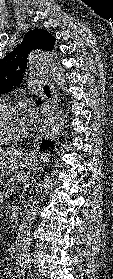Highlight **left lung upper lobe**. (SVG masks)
I'll return each mask as SVG.
<instances>
[{
    "instance_id": "5c2ea615",
    "label": "left lung upper lobe",
    "mask_w": 113,
    "mask_h": 279,
    "mask_svg": "<svg viewBox=\"0 0 113 279\" xmlns=\"http://www.w3.org/2000/svg\"><path fill=\"white\" fill-rule=\"evenodd\" d=\"M54 42L55 38L44 29L27 32L21 44L0 59V95L20 85L32 50L52 51Z\"/></svg>"
}]
</instances>
